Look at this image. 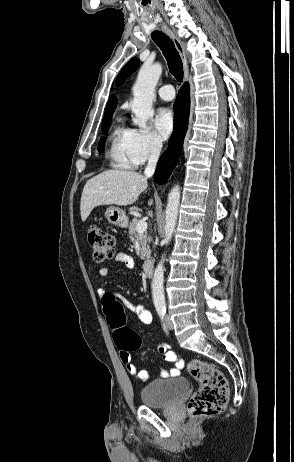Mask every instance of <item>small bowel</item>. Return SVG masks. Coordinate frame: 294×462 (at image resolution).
<instances>
[{
    "label": "small bowel",
    "instance_id": "1",
    "mask_svg": "<svg viewBox=\"0 0 294 462\" xmlns=\"http://www.w3.org/2000/svg\"><path fill=\"white\" fill-rule=\"evenodd\" d=\"M115 260L122 262L129 269L135 267L134 259L127 254L119 253L116 255ZM99 274L102 276H108L109 270L106 267H101L99 268ZM97 293L99 296L103 297V295L106 292L104 289H99ZM124 304L128 309H130L132 312L136 314L137 319L141 324L149 325L152 322V314L144 305L135 304L128 300H125ZM158 352L163 355V358L166 361L172 362L174 364V366L169 371L161 370L160 375L162 377L180 375L185 365L184 361L175 352L170 350L169 345H167L166 343H161L158 346ZM120 358L122 362L126 365V369L129 374L136 376L140 380L148 379V373L146 371H139L137 366L134 363H132L129 352L121 351Z\"/></svg>",
    "mask_w": 294,
    "mask_h": 462
}]
</instances>
